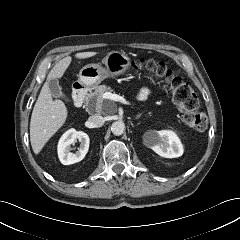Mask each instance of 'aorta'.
Here are the masks:
<instances>
[{
	"mask_svg": "<svg viewBox=\"0 0 240 240\" xmlns=\"http://www.w3.org/2000/svg\"><path fill=\"white\" fill-rule=\"evenodd\" d=\"M111 131L114 135L120 136L125 131V124L122 121H116L112 124Z\"/></svg>",
	"mask_w": 240,
	"mask_h": 240,
	"instance_id": "obj_1",
	"label": "aorta"
}]
</instances>
